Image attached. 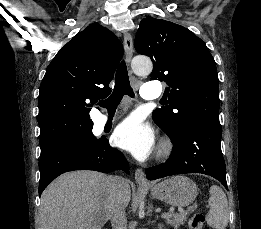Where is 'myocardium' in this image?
I'll return each mask as SVG.
<instances>
[{
    "mask_svg": "<svg viewBox=\"0 0 261 229\" xmlns=\"http://www.w3.org/2000/svg\"><path fill=\"white\" fill-rule=\"evenodd\" d=\"M172 151V145L169 140H164L158 150L157 157L158 159H165L169 157Z\"/></svg>",
    "mask_w": 261,
    "mask_h": 229,
    "instance_id": "1",
    "label": "myocardium"
}]
</instances>
